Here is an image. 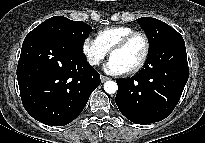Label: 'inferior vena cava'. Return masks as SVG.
Here are the masks:
<instances>
[{"mask_svg":"<svg viewBox=\"0 0 205 143\" xmlns=\"http://www.w3.org/2000/svg\"><path fill=\"white\" fill-rule=\"evenodd\" d=\"M96 63H97L96 61L93 62V64H96Z\"/></svg>","mask_w":205,"mask_h":143,"instance_id":"1","label":"inferior vena cava"}]
</instances>
